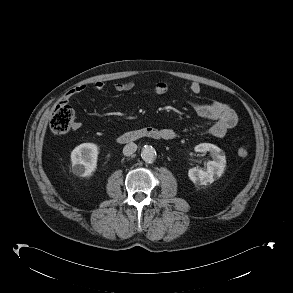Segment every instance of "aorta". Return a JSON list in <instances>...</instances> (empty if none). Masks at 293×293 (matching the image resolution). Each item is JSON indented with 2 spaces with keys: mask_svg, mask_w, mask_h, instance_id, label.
Listing matches in <instances>:
<instances>
[{
  "mask_svg": "<svg viewBox=\"0 0 293 293\" xmlns=\"http://www.w3.org/2000/svg\"><path fill=\"white\" fill-rule=\"evenodd\" d=\"M141 157L145 162L151 163L156 158V151L152 146H144L141 151Z\"/></svg>",
  "mask_w": 293,
  "mask_h": 293,
  "instance_id": "762f6f07",
  "label": "aorta"
}]
</instances>
